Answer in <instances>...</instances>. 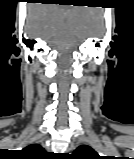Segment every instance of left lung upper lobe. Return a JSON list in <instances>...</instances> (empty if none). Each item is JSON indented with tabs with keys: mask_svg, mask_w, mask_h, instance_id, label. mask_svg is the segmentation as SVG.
<instances>
[{
	"mask_svg": "<svg viewBox=\"0 0 134 159\" xmlns=\"http://www.w3.org/2000/svg\"><path fill=\"white\" fill-rule=\"evenodd\" d=\"M71 159H103L91 147L82 145L72 154Z\"/></svg>",
	"mask_w": 134,
	"mask_h": 159,
	"instance_id": "obj_1",
	"label": "left lung upper lobe"
}]
</instances>
